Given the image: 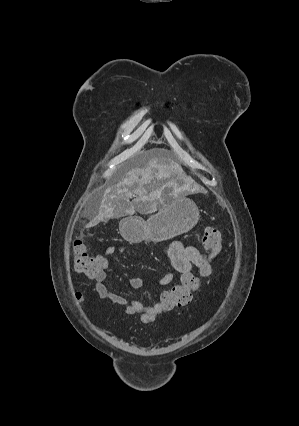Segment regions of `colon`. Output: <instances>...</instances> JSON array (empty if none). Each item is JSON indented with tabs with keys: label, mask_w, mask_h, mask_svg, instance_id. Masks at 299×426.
Wrapping results in <instances>:
<instances>
[{
	"label": "colon",
	"mask_w": 299,
	"mask_h": 426,
	"mask_svg": "<svg viewBox=\"0 0 299 426\" xmlns=\"http://www.w3.org/2000/svg\"><path fill=\"white\" fill-rule=\"evenodd\" d=\"M201 243L209 256L215 258L222 250L220 231L216 227L207 226L201 235ZM72 255L77 272L87 277L95 278L102 270L100 256L90 255L86 250L84 241L81 239L74 242ZM199 286L200 284L195 274L191 272L185 273L178 283L159 291L155 296V302L162 306L164 312L172 311L188 304ZM77 298L81 299V295L77 294Z\"/></svg>",
	"instance_id": "5ec220e1"
}]
</instances>
